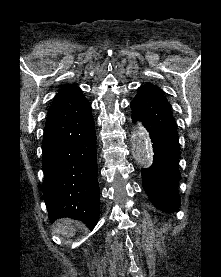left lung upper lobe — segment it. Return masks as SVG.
I'll use <instances>...</instances> for the list:
<instances>
[{"label":"left lung upper lobe","mask_w":221,"mask_h":277,"mask_svg":"<svg viewBox=\"0 0 221 277\" xmlns=\"http://www.w3.org/2000/svg\"><path fill=\"white\" fill-rule=\"evenodd\" d=\"M145 86L147 88H149L151 91H153L162 102H164L165 104H167L170 107L168 101L164 97L163 91L160 88H158L157 86L152 85V84H146Z\"/></svg>","instance_id":"1"}]
</instances>
